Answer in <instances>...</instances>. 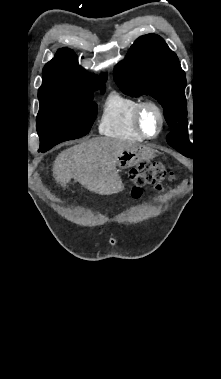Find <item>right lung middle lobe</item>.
<instances>
[{
    "instance_id": "1",
    "label": "right lung middle lobe",
    "mask_w": 221,
    "mask_h": 379,
    "mask_svg": "<svg viewBox=\"0 0 221 379\" xmlns=\"http://www.w3.org/2000/svg\"><path fill=\"white\" fill-rule=\"evenodd\" d=\"M101 88L104 93L105 86ZM92 100L93 90L76 96L39 98L40 110L36 127L40 149H50L62 141L88 134L97 115V105Z\"/></svg>"
}]
</instances>
